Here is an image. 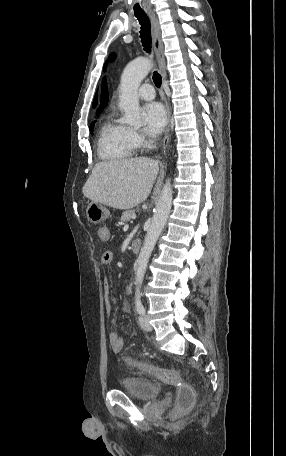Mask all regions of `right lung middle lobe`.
Instances as JSON below:
<instances>
[{"label":"right lung middle lobe","mask_w":286,"mask_h":456,"mask_svg":"<svg viewBox=\"0 0 286 456\" xmlns=\"http://www.w3.org/2000/svg\"><path fill=\"white\" fill-rule=\"evenodd\" d=\"M94 123H95V122L91 123V125H90V132H91V134H92V131H93V128H94Z\"/></svg>","instance_id":"obj_1"}]
</instances>
